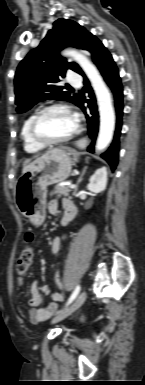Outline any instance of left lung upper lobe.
<instances>
[{
	"mask_svg": "<svg viewBox=\"0 0 145 385\" xmlns=\"http://www.w3.org/2000/svg\"><path fill=\"white\" fill-rule=\"evenodd\" d=\"M93 35L71 20L58 19L38 47L31 50L19 64L15 74V103L17 112H25L39 101L66 100L79 106L82 98L64 92L61 77L67 69L81 71L76 63H69L59 55L64 47L88 50Z\"/></svg>",
	"mask_w": 145,
	"mask_h": 385,
	"instance_id": "obj_1",
	"label": "left lung upper lobe"
}]
</instances>
